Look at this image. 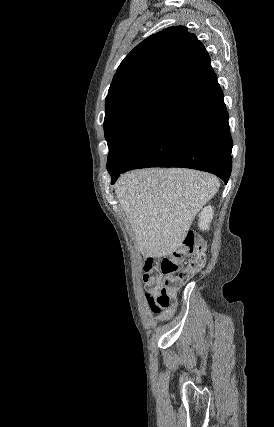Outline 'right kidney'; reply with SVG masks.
Returning a JSON list of instances; mask_svg holds the SVG:
<instances>
[{
	"mask_svg": "<svg viewBox=\"0 0 274 427\" xmlns=\"http://www.w3.org/2000/svg\"><path fill=\"white\" fill-rule=\"evenodd\" d=\"M213 208L212 206H206L199 214L198 227L199 229H209V223L213 219Z\"/></svg>",
	"mask_w": 274,
	"mask_h": 427,
	"instance_id": "right-kidney-1",
	"label": "right kidney"
}]
</instances>
